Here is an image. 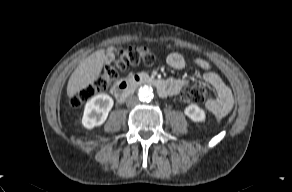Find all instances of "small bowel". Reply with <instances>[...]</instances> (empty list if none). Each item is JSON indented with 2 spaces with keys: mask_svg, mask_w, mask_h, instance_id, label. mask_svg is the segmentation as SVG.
Masks as SVG:
<instances>
[{
  "mask_svg": "<svg viewBox=\"0 0 292 192\" xmlns=\"http://www.w3.org/2000/svg\"><path fill=\"white\" fill-rule=\"evenodd\" d=\"M118 53L117 49H109L105 61L111 63ZM167 64L176 70L184 69L186 60L178 52L170 53L167 56ZM194 64L203 70L202 79L205 83L212 86L216 93L217 99L207 103V109L214 115L216 119L224 117L231 109L233 105V96L229 87L224 83L221 77L215 73L208 61L195 58ZM168 84V95H174L179 93L182 88L187 84V81L182 78H170L167 80Z\"/></svg>",
  "mask_w": 292,
  "mask_h": 192,
  "instance_id": "1",
  "label": "small bowel"
}]
</instances>
